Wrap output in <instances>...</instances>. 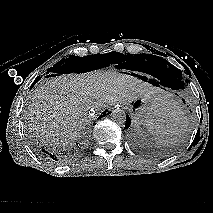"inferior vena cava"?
<instances>
[{
  "label": "inferior vena cava",
  "instance_id": "inferior-vena-cava-1",
  "mask_svg": "<svg viewBox=\"0 0 213 213\" xmlns=\"http://www.w3.org/2000/svg\"><path fill=\"white\" fill-rule=\"evenodd\" d=\"M88 114H89L90 116H93V115L95 114V111H94L93 109H90V110L88 111Z\"/></svg>",
  "mask_w": 213,
  "mask_h": 213
}]
</instances>
